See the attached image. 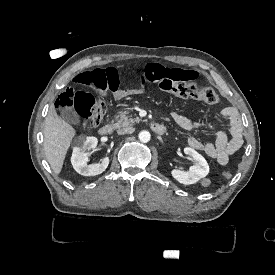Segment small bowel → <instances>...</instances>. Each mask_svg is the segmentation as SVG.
<instances>
[{"label": "small bowel", "mask_w": 275, "mask_h": 275, "mask_svg": "<svg viewBox=\"0 0 275 275\" xmlns=\"http://www.w3.org/2000/svg\"><path fill=\"white\" fill-rule=\"evenodd\" d=\"M161 66L158 64H151L148 69L142 72L141 82L142 86H130L128 91L130 93H141L148 89V82L152 79H159L161 77ZM105 78L107 79L108 88L111 90L110 94L117 99L125 97L127 92L122 88V81L120 75L115 68H108L105 71ZM164 78L166 80L184 81L192 78V71L190 69H166L164 71ZM173 121L182 129L187 131H195L199 129H207L214 132L213 142H203L196 137H189L188 144L193 149L203 152L209 158L215 160L219 165L225 166L228 164L230 157L236 153L243 143L242 138V124L238 110L233 106L224 107L215 120L211 122H196L184 116L178 111L172 112ZM229 124L230 137L221 129L224 123Z\"/></svg>", "instance_id": "obj_1"}]
</instances>
